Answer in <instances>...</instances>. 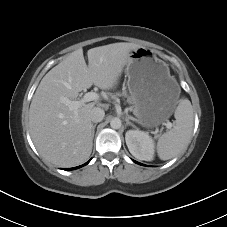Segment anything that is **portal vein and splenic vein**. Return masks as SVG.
Wrapping results in <instances>:
<instances>
[{"mask_svg": "<svg viewBox=\"0 0 227 227\" xmlns=\"http://www.w3.org/2000/svg\"><path fill=\"white\" fill-rule=\"evenodd\" d=\"M99 99V95L96 92H88L86 93L82 99L77 100V101H72L67 98L62 99V103L67 105L70 110H73L76 112L78 108L83 106L85 103L90 102V101H97ZM167 129H171L173 124L171 122H166L164 123Z\"/></svg>", "mask_w": 227, "mask_h": 227, "instance_id": "obj_1", "label": "portal vein and splenic vein"}]
</instances>
